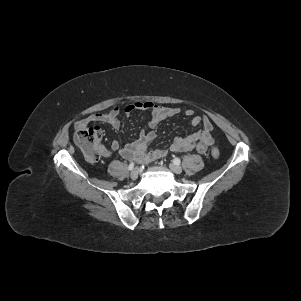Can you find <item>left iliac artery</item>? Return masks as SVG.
I'll list each match as a JSON object with an SVG mask.
<instances>
[{
	"label": "left iliac artery",
	"mask_w": 301,
	"mask_h": 301,
	"mask_svg": "<svg viewBox=\"0 0 301 301\" xmlns=\"http://www.w3.org/2000/svg\"><path fill=\"white\" fill-rule=\"evenodd\" d=\"M173 162H174V164L179 165L181 161H180L179 158H175V159L173 160Z\"/></svg>",
	"instance_id": "44dca946"
}]
</instances>
